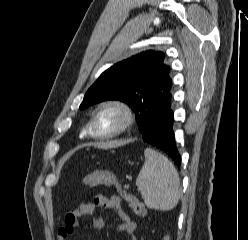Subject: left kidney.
I'll use <instances>...</instances> for the list:
<instances>
[{"instance_id":"5707ae66","label":"left kidney","mask_w":248,"mask_h":240,"mask_svg":"<svg viewBox=\"0 0 248 240\" xmlns=\"http://www.w3.org/2000/svg\"><path fill=\"white\" fill-rule=\"evenodd\" d=\"M164 240H170L169 236H165Z\"/></svg>"}]
</instances>
